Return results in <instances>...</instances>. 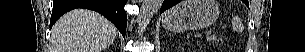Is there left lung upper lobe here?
I'll return each mask as SVG.
<instances>
[{
    "label": "left lung upper lobe",
    "instance_id": "obj_1",
    "mask_svg": "<svg viewBox=\"0 0 305 52\" xmlns=\"http://www.w3.org/2000/svg\"><path fill=\"white\" fill-rule=\"evenodd\" d=\"M245 4L247 5V4H248V2H247V1H245Z\"/></svg>",
    "mask_w": 305,
    "mask_h": 52
}]
</instances>
